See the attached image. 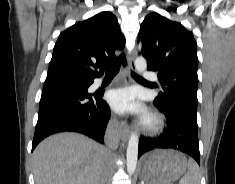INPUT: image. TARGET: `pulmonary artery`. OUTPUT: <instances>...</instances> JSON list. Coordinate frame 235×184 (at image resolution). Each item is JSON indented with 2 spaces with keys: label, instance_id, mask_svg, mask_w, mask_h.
Masks as SVG:
<instances>
[{
  "label": "pulmonary artery",
  "instance_id": "e3ab8cb5",
  "mask_svg": "<svg viewBox=\"0 0 235 184\" xmlns=\"http://www.w3.org/2000/svg\"><path fill=\"white\" fill-rule=\"evenodd\" d=\"M147 76L150 78V79H154L155 78V76H154V74L153 73H147ZM101 83H102V79H98L95 83H94V86H99V85H101Z\"/></svg>",
  "mask_w": 235,
  "mask_h": 184
}]
</instances>
